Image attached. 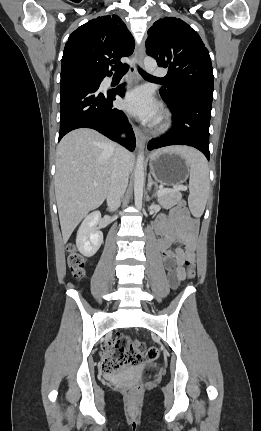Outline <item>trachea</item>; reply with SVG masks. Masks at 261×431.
I'll list each match as a JSON object with an SVG mask.
<instances>
[{
    "instance_id": "1",
    "label": "trachea",
    "mask_w": 261,
    "mask_h": 431,
    "mask_svg": "<svg viewBox=\"0 0 261 431\" xmlns=\"http://www.w3.org/2000/svg\"><path fill=\"white\" fill-rule=\"evenodd\" d=\"M129 66L127 64H124L119 67H114L115 70V76H123L127 73ZM139 72L142 75V77L146 79H152V80H158V78L153 77L152 75L147 74L145 71L139 68Z\"/></svg>"
}]
</instances>
